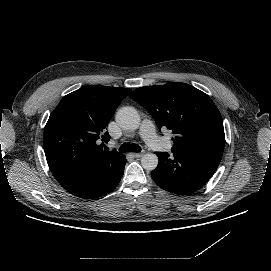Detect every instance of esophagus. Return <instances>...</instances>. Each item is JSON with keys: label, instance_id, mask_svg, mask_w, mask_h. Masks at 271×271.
I'll return each mask as SVG.
<instances>
[{"label": "esophagus", "instance_id": "34e87169", "mask_svg": "<svg viewBox=\"0 0 271 271\" xmlns=\"http://www.w3.org/2000/svg\"><path fill=\"white\" fill-rule=\"evenodd\" d=\"M145 152H140V153H134V157L135 158H141L142 156H143V154H144Z\"/></svg>", "mask_w": 271, "mask_h": 271}]
</instances>
